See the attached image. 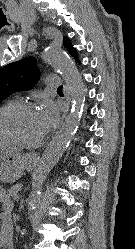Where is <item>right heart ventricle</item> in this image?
Returning a JSON list of instances; mask_svg holds the SVG:
<instances>
[{
    "label": "right heart ventricle",
    "instance_id": "e07e8e85",
    "mask_svg": "<svg viewBox=\"0 0 135 249\" xmlns=\"http://www.w3.org/2000/svg\"><path fill=\"white\" fill-rule=\"evenodd\" d=\"M13 101H8V102H6L5 104H3L1 107H0V110L3 108V107H5L6 105H8V104H10V103H12ZM5 144H12V143H10V142H8V141H6V140H4V139H2L1 137H0V145H5Z\"/></svg>",
    "mask_w": 135,
    "mask_h": 249
}]
</instances>
